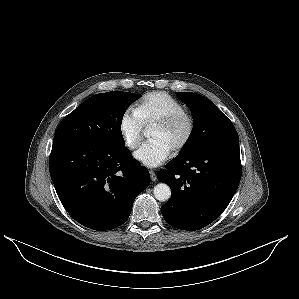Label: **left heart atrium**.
I'll return each mask as SVG.
<instances>
[{
	"instance_id": "1",
	"label": "left heart atrium",
	"mask_w": 299,
	"mask_h": 299,
	"mask_svg": "<svg viewBox=\"0 0 299 299\" xmlns=\"http://www.w3.org/2000/svg\"><path fill=\"white\" fill-rule=\"evenodd\" d=\"M171 149L161 140H150L134 153V158L151 168L162 165L170 156Z\"/></svg>"
}]
</instances>
